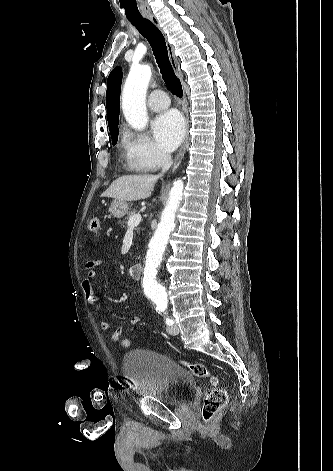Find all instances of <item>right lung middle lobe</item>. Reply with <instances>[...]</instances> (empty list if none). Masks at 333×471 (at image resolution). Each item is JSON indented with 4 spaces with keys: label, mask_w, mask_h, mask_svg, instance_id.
<instances>
[{
    "label": "right lung middle lobe",
    "mask_w": 333,
    "mask_h": 471,
    "mask_svg": "<svg viewBox=\"0 0 333 471\" xmlns=\"http://www.w3.org/2000/svg\"><path fill=\"white\" fill-rule=\"evenodd\" d=\"M111 138H112L113 145H115L116 142H117V139H118V128L117 127L111 132Z\"/></svg>",
    "instance_id": "1"
}]
</instances>
